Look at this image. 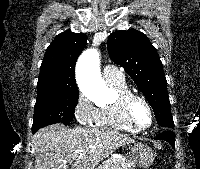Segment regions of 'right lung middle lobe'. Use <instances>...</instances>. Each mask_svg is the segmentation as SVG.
<instances>
[{
  "label": "right lung middle lobe",
  "instance_id": "right-lung-middle-lobe-1",
  "mask_svg": "<svg viewBox=\"0 0 200 169\" xmlns=\"http://www.w3.org/2000/svg\"><path fill=\"white\" fill-rule=\"evenodd\" d=\"M78 95V90L38 93L34 107L32 131L55 123L67 125L74 118Z\"/></svg>",
  "mask_w": 200,
  "mask_h": 169
}]
</instances>
